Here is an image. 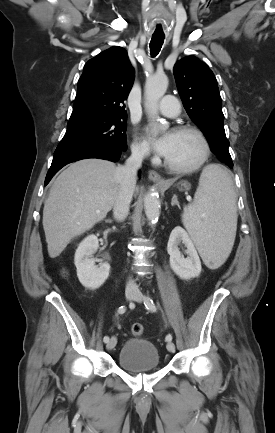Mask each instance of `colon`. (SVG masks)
I'll use <instances>...</instances> for the list:
<instances>
[{
  "instance_id": "1",
  "label": "colon",
  "mask_w": 275,
  "mask_h": 433,
  "mask_svg": "<svg viewBox=\"0 0 275 433\" xmlns=\"http://www.w3.org/2000/svg\"><path fill=\"white\" fill-rule=\"evenodd\" d=\"M131 332L134 336L140 337L144 334V327L140 323H135L131 327Z\"/></svg>"
}]
</instances>
